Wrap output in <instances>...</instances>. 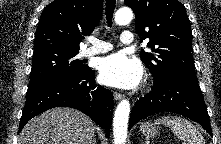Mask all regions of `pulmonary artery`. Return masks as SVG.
<instances>
[{
    "label": "pulmonary artery",
    "mask_w": 221,
    "mask_h": 144,
    "mask_svg": "<svg viewBox=\"0 0 221 144\" xmlns=\"http://www.w3.org/2000/svg\"><path fill=\"white\" fill-rule=\"evenodd\" d=\"M120 40L123 44H131L134 40L133 34L130 31H124L121 34ZM91 46L82 51V56L89 57L110 51L113 47L109 42L101 41L96 38L90 39Z\"/></svg>",
    "instance_id": "e3ab8cb5"
}]
</instances>
